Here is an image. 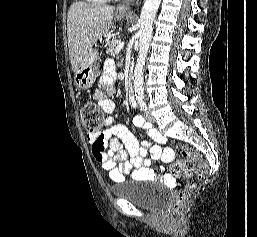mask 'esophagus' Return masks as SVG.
<instances>
[{"label":"esophagus","mask_w":257,"mask_h":237,"mask_svg":"<svg viewBox=\"0 0 257 237\" xmlns=\"http://www.w3.org/2000/svg\"><path fill=\"white\" fill-rule=\"evenodd\" d=\"M132 2H133V0H122L118 4L116 11L120 12V13L130 12V6H131Z\"/></svg>","instance_id":"esophagus-1"}]
</instances>
